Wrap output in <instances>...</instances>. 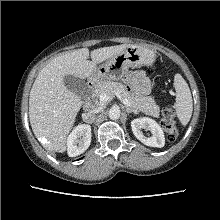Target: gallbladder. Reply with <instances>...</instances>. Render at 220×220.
I'll return each mask as SVG.
<instances>
[{"mask_svg":"<svg viewBox=\"0 0 220 220\" xmlns=\"http://www.w3.org/2000/svg\"><path fill=\"white\" fill-rule=\"evenodd\" d=\"M64 83L70 91L74 92L78 96L82 98L87 96L88 86L84 80L72 75H68L64 78Z\"/></svg>","mask_w":220,"mask_h":220,"instance_id":"gallbladder-1","label":"gallbladder"}]
</instances>
